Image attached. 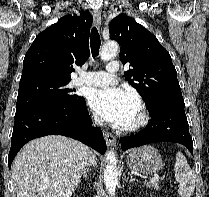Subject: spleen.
<instances>
[{
	"instance_id": "3e777b00",
	"label": "spleen",
	"mask_w": 209,
	"mask_h": 197,
	"mask_svg": "<svg viewBox=\"0 0 209 197\" xmlns=\"http://www.w3.org/2000/svg\"><path fill=\"white\" fill-rule=\"evenodd\" d=\"M178 193L181 197H191L195 189V177L182 152H177L174 165Z\"/></svg>"
}]
</instances>
